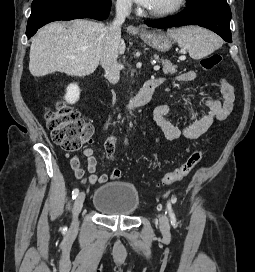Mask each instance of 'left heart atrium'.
Segmentation results:
<instances>
[{"label":"left heart atrium","instance_id":"39dd6f15","mask_svg":"<svg viewBox=\"0 0 255 272\" xmlns=\"http://www.w3.org/2000/svg\"><path fill=\"white\" fill-rule=\"evenodd\" d=\"M135 1L146 8H149L153 2V0H135Z\"/></svg>","mask_w":255,"mask_h":272}]
</instances>
